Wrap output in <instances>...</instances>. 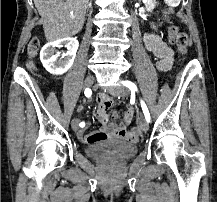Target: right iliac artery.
<instances>
[{"label": "right iliac artery", "mask_w": 217, "mask_h": 202, "mask_svg": "<svg viewBox=\"0 0 217 202\" xmlns=\"http://www.w3.org/2000/svg\"><path fill=\"white\" fill-rule=\"evenodd\" d=\"M84 94H85L86 97H90L91 94H92L91 89L86 88L85 91H84ZM79 126L83 128V127L85 126V123H84V122H81V123L79 124Z\"/></svg>", "instance_id": "82829eb1"}]
</instances>
